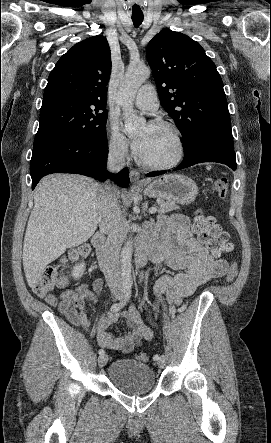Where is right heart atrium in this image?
I'll use <instances>...</instances> for the list:
<instances>
[{"label": "right heart atrium", "instance_id": "d8ad5b80", "mask_svg": "<svg viewBox=\"0 0 271 443\" xmlns=\"http://www.w3.org/2000/svg\"><path fill=\"white\" fill-rule=\"evenodd\" d=\"M106 133L109 152L116 157L126 156L129 151V142L121 132L120 126L116 120H108Z\"/></svg>", "mask_w": 271, "mask_h": 443}]
</instances>
